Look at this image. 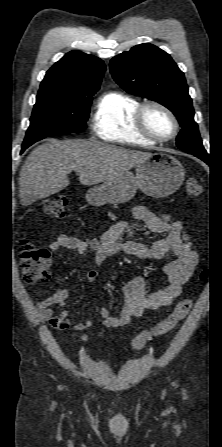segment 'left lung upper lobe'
Wrapping results in <instances>:
<instances>
[{"label":"left lung upper lobe","instance_id":"obj_1","mask_svg":"<svg viewBox=\"0 0 222 447\" xmlns=\"http://www.w3.org/2000/svg\"><path fill=\"white\" fill-rule=\"evenodd\" d=\"M110 71L126 92L156 101L174 113L182 127L176 141L179 149L208 155L193 119L184 73L169 54L152 44H140L112 58Z\"/></svg>","mask_w":222,"mask_h":447}]
</instances>
